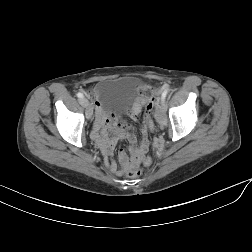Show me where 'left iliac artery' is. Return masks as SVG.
<instances>
[{
	"instance_id": "44dca946",
	"label": "left iliac artery",
	"mask_w": 252,
	"mask_h": 252,
	"mask_svg": "<svg viewBox=\"0 0 252 252\" xmlns=\"http://www.w3.org/2000/svg\"><path fill=\"white\" fill-rule=\"evenodd\" d=\"M168 93H169V89H166V90L162 93L161 99H162L163 102L165 101V98H166V96H167Z\"/></svg>"
}]
</instances>
